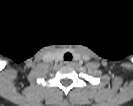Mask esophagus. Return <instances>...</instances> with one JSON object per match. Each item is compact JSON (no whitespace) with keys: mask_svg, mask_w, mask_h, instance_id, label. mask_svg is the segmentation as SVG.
<instances>
[{"mask_svg":"<svg viewBox=\"0 0 133 106\" xmlns=\"http://www.w3.org/2000/svg\"><path fill=\"white\" fill-rule=\"evenodd\" d=\"M65 64H66L67 66H71V65H73V62H72V61H66Z\"/></svg>","mask_w":133,"mask_h":106,"instance_id":"obj_1","label":"esophagus"}]
</instances>
